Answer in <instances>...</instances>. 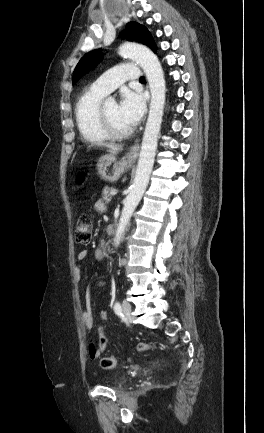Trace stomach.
<instances>
[{
  "label": "stomach",
  "instance_id": "stomach-1",
  "mask_svg": "<svg viewBox=\"0 0 264 433\" xmlns=\"http://www.w3.org/2000/svg\"><path fill=\"white\" fill-rule=\"evenodd\" d=\"M133 161L123 157L117 160L114 155H103L97 160V171L101 179L108 182H116L120 176L131 168Z\"/></svg>",
  "mask_w": 264,
  "mask_h": 433
}]
</instances>
